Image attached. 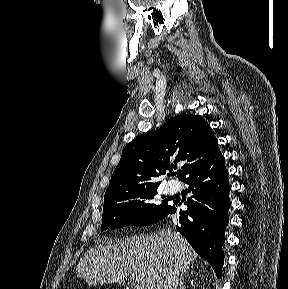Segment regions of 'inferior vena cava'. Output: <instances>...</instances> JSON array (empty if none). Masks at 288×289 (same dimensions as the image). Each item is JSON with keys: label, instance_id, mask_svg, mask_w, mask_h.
<instances>
[{"label": "inferior vena cava", "instance_id": "inferior-vena-cava-1", "mask_svg": "<svg viewBox=\"0 0 288 289\" xmlns=\"http://www.w3.org/2000/svg\"><path fill=\"white\" fill-rule=\"evenodd\" d=\"M179 272L175 268H169L164 272L159 289H178Z\"/></svg>", "mask_w": 288, "mask_h": 289}]
</instances>
